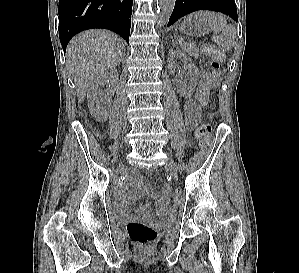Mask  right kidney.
I'll list each match as a JSON object with an SVG mask.
<instances>
[{
	"mask_svg": "<svg viewBox=\"0 0 299 273\" xmlns=\"http://www.w3.org/2000/svg\"><path fill=\"white\" fill-rule=\"evenodd\" d=\"M118 72L114 69L106 70L98 75L90 82L88 86V106L93 117L104 122L108 117V110L112 103L111 93L112 89H108L103 95H101V86L107 83L112 85L118 80Z\"/></svg>",
	"mask_w": 299,
	"mask_h": 273,
	"instance_id": "obj_1",
	"label": "right kidney"
}]
</instances>
